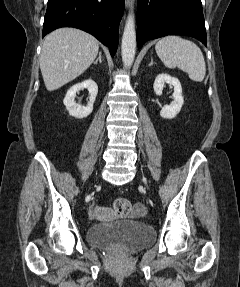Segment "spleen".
I'll list each match as a JSON object with an SVG mask.
<instances>
[{
    "label": "spleen",
    "mask_w": 240,
    "mask_h": 287,
    "mask_svg": "<svg viewBox=\"0 0 240 287\" xmlns=\"http://www.w3.org/2000/svg\"><path fill=\"white\" fill-rule=\"evenodd\" d=\"M155 50L163 64L170 69L178 67L196 82L203 81L206 65L201 49L192 41L176 35L161 38Z\"/></svg>",
    "instance_id": "1"
}]
</instances>
